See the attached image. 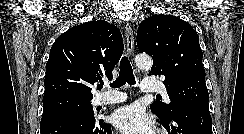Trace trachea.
I'll list each match as a JSON object with an SVG mask.
<instances>
[{
  "label": "trachea",
  "mask_w": 244,
  "mask_h": 134,
  "mask_svg": "<svg viewBox=\"0 0 244 134\" xmlns=\"http://www.w3.org/2000/svg\"><path fill=\"white\" fill-rule=\"evenodd\" d=\"M125 83H128L130 85H135L136 83L132 66L126 56L122 57L121 59L119 76L116 78L115 81H113L112 84H110V86L113 88H119L125 85ZM97 88L101 90L103 88V84L99 85ZM157 97L161 96L157 95Z\"/></svg>",
  "instance_id": "3493384b"
}]
</instances>
